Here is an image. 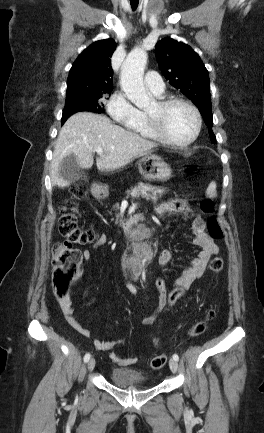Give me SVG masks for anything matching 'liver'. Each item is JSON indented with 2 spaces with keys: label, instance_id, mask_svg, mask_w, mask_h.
<instances>
[{
  "label": "liver",
  "instance_id": "6515ba94",
  "mask_svg": "<svg viewBox=\"0 0 264 433\" xmlns=\"http://www.w3.org/2000/svg\"><path fill=\"white\" fill-rule=\"evenodd\" d=\"M157 144L138 134L115 125L108 117L89 112L71 116L59 132L51 162L52 186L65 187L69 183L59 176L61 161L74 155L80 168L93 165L95 149L104 153L96 159L99 171L119 169L133 159L151 153Z\"/></svg>",
  "mask_w": 264,
  "mask_h": 433
}]
</instances>
